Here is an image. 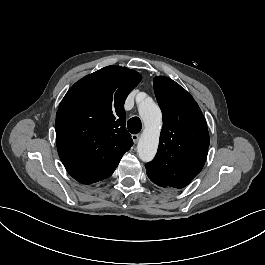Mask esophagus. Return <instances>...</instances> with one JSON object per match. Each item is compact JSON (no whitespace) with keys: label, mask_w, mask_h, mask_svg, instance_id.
I'll use <instances>...</instances> for the list:
<instances>
[{"label":"esophagus","mask_w":265,"mask_h":265,"mask_svg":"<svg viewBox=\"0 0 265 265\" xmlns=\"http://www.w3.org/2000/svg\"><path fill=\"white\" fill-rule=\"evenodd\" d=\"M132 139H133V142L136 144L139 140V134H133Z\"/></svg>","instance_id":"obj_1"}]
</instances>
